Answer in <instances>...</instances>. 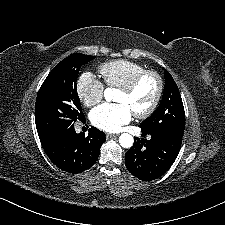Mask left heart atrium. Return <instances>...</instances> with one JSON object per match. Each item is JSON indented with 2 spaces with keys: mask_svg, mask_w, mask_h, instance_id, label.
<instances>
[{
  "mask_svg": "<svg viewBox=\"0 0 225 225\" xmlns=\"http://www.w3.org/2000/svg\"><path fill=\"white\" fill-rule=\"evenodd\" d=\"M131 118L132 111L123 103H103L90 113L92 124L107 132L119 131Z\"/></svg>",
  "mask_w": 225,
  "mask_h": 225,
  "instance_id": "1",
  "label": "left heart atrium"
}]
</instances>
